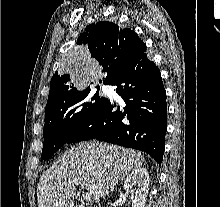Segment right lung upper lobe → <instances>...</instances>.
<instances>
[{
    "label": "right lung upper lobe",
    "instance_id": "1",
    "mask_svg": "<svg viewBox=\"0 0 220 207\" xmlns=\"http://www.w3.org/2000/svg\"><path fill=\"white\" fill-rule=\"evenodd\" d=\"M77 44L86 45L91 57L103 67L106 72L104 84H109L126 65L146 51V44L133 30L109 21L88 25ZM77 90L69 74L55 73L50 82L45 112L58 99Z\"/></svg>",
    "mask_w": 220,
    "mask_h": 207
}]
</instances>
